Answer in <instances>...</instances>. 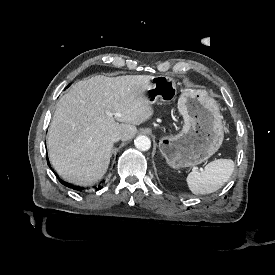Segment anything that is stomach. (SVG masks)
<instances>
[{"instance_id": "0dacf381", "label": "stomach", "mask_w": 275, "mask_h": 275, "mask_svg": "<svg viewBox=\"0 0 275 275\" xmlns=\"http://www.w3.org/2000/svg\"><path fill=\"white\" fill-rule=\"evenodd\" d=\"M177 94L176 80L168 75L152 76L143 95L149 104L171 102ZM178 110L184 125L177 135L164 136L159 150L174 168L196 166L220 148L223 138L222 115L218 102L206 90L183 89Z\"/></svg>"}]
</instances>
